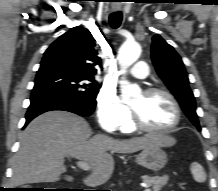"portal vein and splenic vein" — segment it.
<instances>
[{
    "label": "portal vein and splenic vein",
    "instance_id": "portal-vein-and-splenic-vein-1",
    "mask_svg": "<svg viewBox=\"0 0 218 191\" xmlns=\"http://www.w3.org/2000/svg\"><path fill=\"white\" fill-rule=\"evenodd\" d=\"M76 164L82 170L89 171L91 169V166L87 162L78 161ZM142 186L145 187L144 191H151V189L148 188V186L146 184H142Z\"/></svg>",
    "mask_w": 218,
    "mask_h": 191
}]
</instances>
